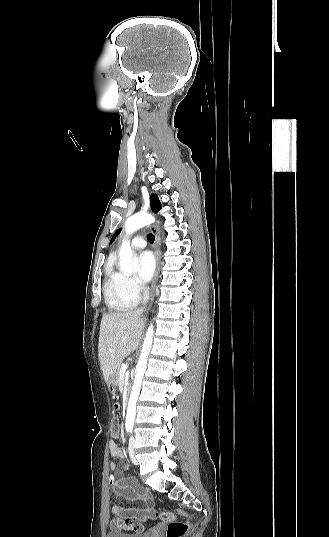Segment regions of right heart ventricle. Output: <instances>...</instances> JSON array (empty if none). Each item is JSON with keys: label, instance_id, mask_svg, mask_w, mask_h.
I'll list each match as a JSON object with an SVG mask.
<instances>
[{"label": "right heart ventricle", "instance_id": "obj_1", "mask_svg": "<svg viewBox=\"0 0 329 537\" xmlns=\"http://www.w3.org/2000/svg\"><path fill=\"white\" fill-rule=\"evenodd\" d=\"M124 275L110 264L106 269L104 295L106 304L113 312H121L135 306L137 301L131 299L123 288Z\"/></svg>", "mask_w": 329, "mask_h": 537}]
</instances>
